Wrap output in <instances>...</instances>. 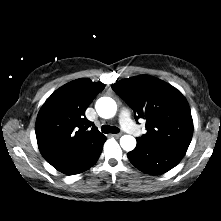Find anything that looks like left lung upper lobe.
Listing matches in <instances>:
<instances>
[{"instance_id":"5c2ea615","label":"left lung upper lobe","mask_w":221,"mask_h":221,"mask_svg":"<svg viewBox=\"0 0 221 221\" xmlns=\"http://www.w3.org/2000/svg\"><path fill=\"white\" fill-rule=\"evenodd\" d=\"M112 89L134 110L136 119L146 120L147 133L137 143L186 152L193 134L187 100L166 82L148 75L123 79Z\"/></svg>"}]
</instances>
